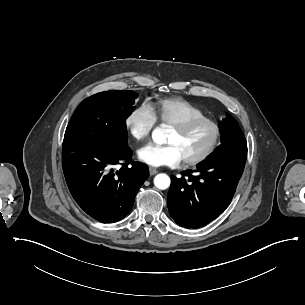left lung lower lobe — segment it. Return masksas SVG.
<instances>
[{
    "instance_id": "left-lung-lower-lobe-1",
    "label": "left lung lower lobe",
    "mask_w": 305,
    "mask_h": 305,
    "mask_svg": "<svg viewBox=\"0 0 305 305\" xmlns=\"http://www.w3.org/2000/svg\"><path fill=\"white\" fill-rule=\"evenodd\" d=\"M247 154L211 156L196 170L171 177L167 205L171 217L185 228H199L230 204L242 176Z\"/></svg>"
}]
</instances>
